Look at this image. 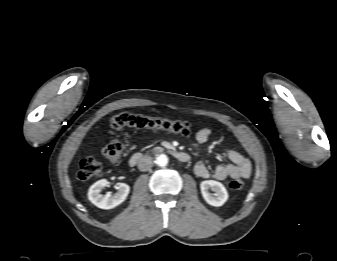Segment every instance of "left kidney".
<instances>
[{
	"mask_svg": "<svg viewBox=\"0 0 337 261\" xmlns=\"http://www.w3.org/2000/svg\"><path fill=\"white\" fill-rule=\"evenodd\" d=\"M200 189L204 200L215 207L222 206L228 199V192L224 185L215 180L202 181ZM209 189L214 191V195L209 193Z\"/></svg>",
	"mask_w": 337,
	"mask_h": 261,
	"instance_id": "5707ae66",
	"label": "left kidney"
}]
</instances>
